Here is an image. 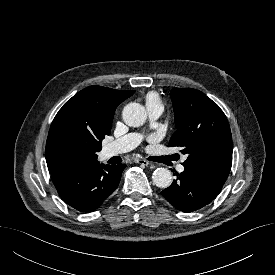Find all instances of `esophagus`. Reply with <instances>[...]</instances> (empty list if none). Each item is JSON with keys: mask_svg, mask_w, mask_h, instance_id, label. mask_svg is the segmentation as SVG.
Returning <instances> with one entry per match:
<instances>
[{"mask_svg": "<svg viewBox=\"0 0 275 275\" xmlns=\"http://www.w3.org/2000/svg\"><path fill=\"white\" fill-rule=\"evenodd\" d=\"M138 164L144 165V166H148L150 164V162L148 160L145 159H138L136 161Z\"/></svg>", "mask_w": 275, "mask_h": 275, "instance_id": "34e87169", "label": "esophagus"}]
</instances>
